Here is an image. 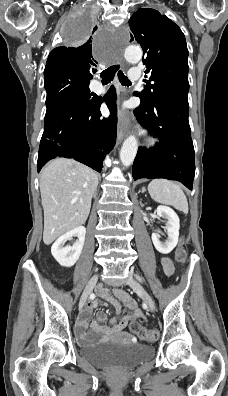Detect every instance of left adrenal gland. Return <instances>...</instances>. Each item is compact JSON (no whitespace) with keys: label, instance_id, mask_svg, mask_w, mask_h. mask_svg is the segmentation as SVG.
<instances>
[{"label":"left adrenal gland","instance_id":"1","mask_svg":"<svg viewBox=\"0 0 228 396\" xmlns=\"http://www.w3.org/2000/svg\"><path fill=\"white\" fill-rule=\"evenodd\" d=\"M145 191H146V189L143 187V188H142V192H145Z\"/></svg>","mask_w":228,"mask_h":396}]
</instances>
